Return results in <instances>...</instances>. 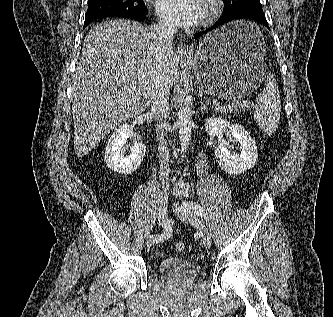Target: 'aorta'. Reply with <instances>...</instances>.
<instances>
[{
	"mask_svg": "<svg viewBox=\"0 0 333 317\" xmlns=\"http://www.w3.org/2000/svg\"><path fill=\"white\" fill-rule=\"evenodd\" d=\"M177 126L179 129V140L181 149L186 151L191 140V131L193 127L192 110L185 106L179 110Z\"/></svg>",
	"mask_w": 333,
	"mask_h": 317,
	"instance_id": "aorta-1",
	"label": "aorta"
}]
</instances>
